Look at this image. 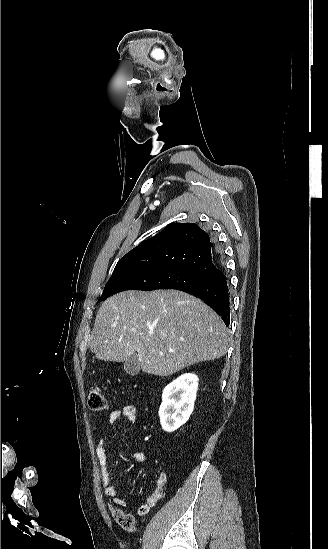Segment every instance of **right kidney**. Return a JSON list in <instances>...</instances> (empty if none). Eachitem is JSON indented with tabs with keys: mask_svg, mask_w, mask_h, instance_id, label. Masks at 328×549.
Listing matches in <instances>:
<instances>
[{
	"mask_svg": "<svg viewBox=\"0 0 328 549\" xmlns=\"http://www.w3.org/2000/svg\"><path fill=\"white\" fill-rule=\"evenodd\" d=\"M198 381L193 373H185L165 387L159 415L160 423L167 433H173L188 421L193 411Z\"/></svg>",
	"mask_w": 328,
	"mask_h": 549,
	"instance_id": "obj_1",
	"label": "right kidney"
}]
</instances>
